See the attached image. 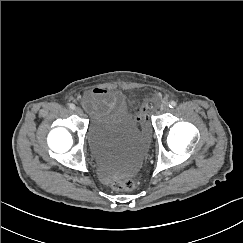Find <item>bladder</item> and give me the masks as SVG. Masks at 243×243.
I'll return each mask as SVG.
<instances>
[{"instance_id":"obj_1","label":"bladder","mask_w":243,"mask_h":243,"mask_svg":"<svg viewBox=\"0 0 243 243\" xmlns=\"http://www.w3.org/2000/svg\"><path fill=\"white\" fill-rule=\"evenodd\" d=\"M87 140L94 154L107 156L115 163L119 175L137 171L148 144L146 133L137 127L126 105L95 114L88 126Z\"/></svg>"}]
</instances>
